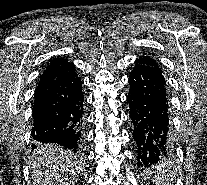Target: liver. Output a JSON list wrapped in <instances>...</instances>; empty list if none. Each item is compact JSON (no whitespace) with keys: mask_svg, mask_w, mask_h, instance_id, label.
<instances>
[{"mask_svg":"<svg viewBox=\"0 0 207 185\" xmlns=\"http://www.w3.org/2000/svg\"><path fill=\"white\" fill-rule=\"evenodd\" d=\"M41 157H35L33 155L30 163L37 169V173H32L30 177H36V175H45L48 183H54V185H74L75 177H80L82 169L78 161H75L72 153L66 151L63 147L58 145H44L38 149ZM53 165H57L58 169H54ZM54 169V171H53ZM33 171V169H32ZM53 173H56L57 179H50Z\"/></svg>","mask_w":207,"mask_h":185,"instance_id":"1","label":"liver"}]
</instances>
